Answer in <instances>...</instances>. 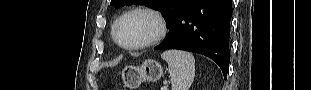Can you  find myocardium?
I'll return each instance as SVG.
<instances>
[{"mask_svg": "<svg viewBox=\"0 0 311 90\" xmlns=\"http://www.w3.org/2000/svg\"><path fill=\"white\" fill-rule=\"evenodd\" d=\"M136 14H141V15H145V16L150 17L155 23V26H156L155 31L147 40H145L143 42L135 43V44H123L118 39V28H119L121 22L125 18H127L128 16H131V15H136ZM166 32H167L166 21L159 12H157L153 9H150V8H134V9L126 11L125 13H123L121 16L118 17V19L115 21V23L113 25L112 36H113L114 42L120 48H123L125 50L134 51V50L145 49V48H148V47L155 45L165 36Z\"/></svg>", "mask_w": 311, "mask_h": 90, "instance_id": "obj_1", "label": "myocardium"}]
</instances>
